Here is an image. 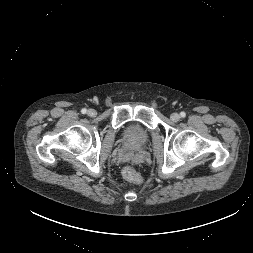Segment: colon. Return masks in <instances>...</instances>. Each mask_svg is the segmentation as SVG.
<instances>
[{
  "label": "colon",
  "instance_id": "1",
  "mask_svg": "<svg viewBox=\"0 0 253 253\" xmlns=\"http://www.w3.org/2000/svg\"><path fill=\"white\" fill-rule=\"evenodd\" d=\"M122 174L125 179L131 182L139 183L141 182V176L136 170L131 166L124 167Z\"/></svg>",
  "mask_w": 253,
  "mask_h": 253
}]
</instances>
